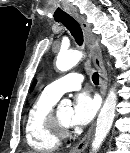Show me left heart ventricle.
I'll list each match as a JSON object with an SVG mask.
<instances>
[{
  "label": "left heart ventricle",
  "mask_w": 130,
  "mask_h": 153,
  "mask_svg": "<svg viewBox=\"0 0 130 153\" xmlns=\"http://www.w3.org/2000/svg\"><path fill=\"white\" fill-rule=\"evenodd\" d=\"M58 117L62 123L69 125L70 117H71V109L70 108H62L57 111Z\"/></svg>",
  "instance_id": "obj_1"
}]
</instances>
